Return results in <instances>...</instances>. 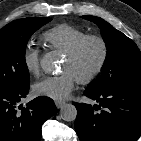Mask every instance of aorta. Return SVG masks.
Wrapping results in <instances>:
<instances>
[{
    "label": "aorta",
    "mask_w": 141,
    "mask_h": 141,
    "mask_svg": "<svg viewBox=\"0 0 141 141\" xmlns=\"http://www.w3.org/2000/svg\"><path fill=\"white\" fill-rule=\"evenodd\" d=\"M42 69L47 73L55 71V61L51 54H46L41 58L40 61ZM60 116L65 121H74L77 116V109L72 104H65L60 109Z\"/></svg>",
    "instance_id": "obj_1"
}]
</instances>
